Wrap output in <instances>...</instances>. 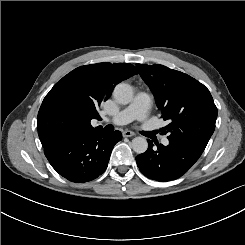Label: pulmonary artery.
<instances>
[{
  "instance_id": "obj_1",
  "label": "pulmonary artery",
  "mask_w": 245,
  "mask_h": 245,
  "mask_svg": "<svg viewBox=\"0 0 245 245\" xmlns=\"http://www.w3.org/2000/svg\"><path fill=\"white\" fill-rule=\"evenodd\" d=\"M151 109V99L142 92H138L135 98L124 107L120 112L113 116L110 121L116 125L126 124L133 119L145 122L148 119L149 110ZM158 142L161 146L166 147L170 144L171 139L167 134H162Z\"/></svg>"
}]
</instances>
